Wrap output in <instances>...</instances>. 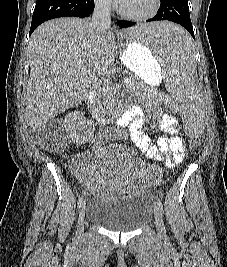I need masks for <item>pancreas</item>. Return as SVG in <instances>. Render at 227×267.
Masks as SVG:
<instances>
[{
	"label": "pancreas",
	"mask_w": 227,
	"mask_h": 267,
	"mask_svg": "<svg viewBox=\"0 0 227 267\" xmlns=\"http://www.w3.org/2000/svg\"><path fill=\"white\" fill-rule=\"evenodd\" d=\"M125 82L127 87L132 91H139V90H147V87L144 83H142L139 79H135L133 76H128L125 78ZM113 94L114 88L107 83L97 94L98 97V105L109 107L113 103Z\"/></svg>",
	"instance_id": "pancreas-1"
}]
</instances>
